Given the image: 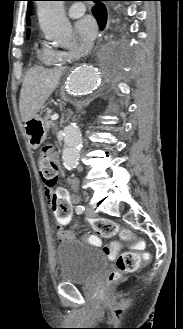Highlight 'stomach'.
Listing matches in <instances>:
<instances>
[{"label": "stomach", "mask_w": 183, "mask_h": 329, "mask_svg": "<svg viewBox=\"0 0 183 329\" xmlns=\"http://www.w3.org/2000/svg\"><path fill=\"white\" fill-rule=\"evenodd\" d=\"M24 132L30 147L33 149L39 148L47 136V128L44 120L38 115L33 116L25 122Z\"/></svg>", "instance_id": "0dacf381"}]
</instances>
